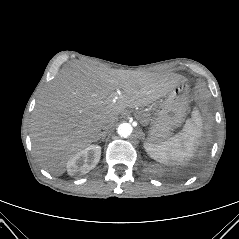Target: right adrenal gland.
Wrapping results in <instances>:
<instances>
[{
	"label": "right adrenal gland",
	"mask_w": 239,
	"mask_h": 239,
	"mask_svg": "<svg viewBox=\"0 0 239 239\" xmlns=\"http://www.w3.org/2000/svg\"><path fill=\"white\" fill-rule=\"evenodd\" d=\"M105 137H106V132H102V133L99 135V137L97 138L96 141H98V140H100V139H101L102 141H104Z\"/></svg>",
	"instance_id": "right-adrenal-gland-1"
}]
</instances>
